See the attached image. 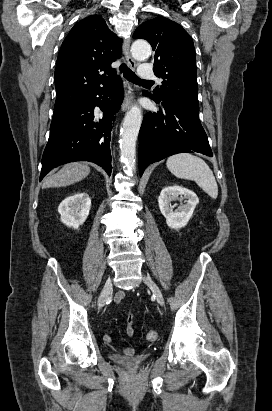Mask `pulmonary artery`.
I'll return each mask as SVG.
<instances>
[{
	"label": "pulmonary artery",
	"instance_id": "1",
	"mask_svg": "<svg viewBox=\"0 0 272 411\" xmlns=\"http://www.w3.org/2000/svg\"><path fill=\"white\" fill-rule=\"evenodd\" d=\"M139 77L141 79L149 80L155 78V73L150 64L143 63L139 69Z\"/></svg>",
	"mask_w": 272,
	"mask_h": 411
}]
</instances>
